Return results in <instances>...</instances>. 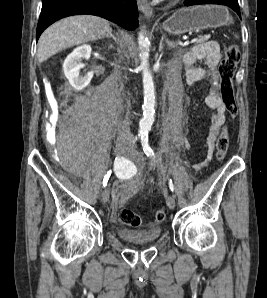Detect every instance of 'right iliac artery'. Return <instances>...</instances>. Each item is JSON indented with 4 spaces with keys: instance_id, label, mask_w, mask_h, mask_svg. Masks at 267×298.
Masks as SVG:
<instances>
[{
    "instance_id": "82829eb1",
    "label": "right iliac artery",
    "mask_w": 267,
    "mask_h": 298,
    "mask_svg": "<svg viewBox=\"0 0 267 298\" xmlns=\"http://www.w3.org/2000/svg\"><path fill=\"white\" fill-rule=\"evenodd\" d=\"M137 140H138V137H136V138L133 140V142H135V141H137ZM126 162H127V160H126L124 157H116L114 164H115L116 167H122ZM110 175H111V171H109V172L105 175V177H104V179H103V186H104V187L107 185V182H108V180H109V178H110Z\"/></svg>"
}]
</instances>
